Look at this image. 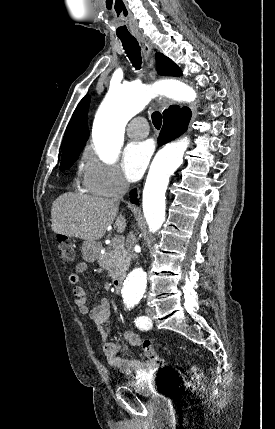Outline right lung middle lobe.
Masks as SVG:
<instances>
[{
    "mask_svg": "<svg viewBox=\"0 0 275 429\" xmlns=\"http://www.w3.org/2000/svg\"><path fill=\"white\" fill-rule=\"evenodd\" d=\"M79 153L68 155L66 157H63L60 163V170H66L69 169L73 163L78 159Z\"/></svg>",
    "mask_w": 275,
    "mask_h": 429,
    "instance_id": "1",
    "label": "right lung middle lobe"
}]
</instances>
